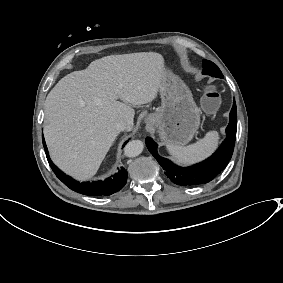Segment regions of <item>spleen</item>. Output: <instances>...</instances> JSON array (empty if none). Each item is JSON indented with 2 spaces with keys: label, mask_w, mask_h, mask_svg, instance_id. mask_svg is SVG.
Instances as JSON below:
<instances>
[{
  "label": "spleen",
  "mask_w": 283,
  "mask_h": 283,
  "mask_svg": "<svg viewBox=\"0 0 283 283\" xmlns=\"http://www.w3.org/2000/svg\"><path fill=\"white\" fill-rule=\"evenodd\" d=\"M218 134L216 131H208L203 138L189 145L169 144V151L180 163H188L204 158L212 152L217 145Z\"/></svg>",
  "instance_id": "obj_1"
}]
</instances>
